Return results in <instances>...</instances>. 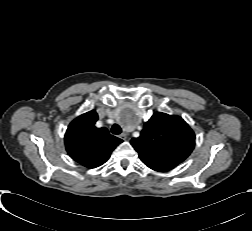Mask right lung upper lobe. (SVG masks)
I'll return each instance as SVG.
<instances>
[{
    "label": "right lung upper lobe",
    "mask_w": 252,
    "mask_h": 231,
    "mask_svg": "<svg viewBox=\"0 0 252 231\" xmlns=\"http://www.w3.org/2000/svg\"><path fill=\"white\" fill-rule=\"evenodd\" d=\"M98 115L91 110L73 120L65 133V146L72 159L87 168L105 163L122 140L105 127L95 126Z\"/></svg>",
    "instance_id": "obj_1"
}]
</instances>
